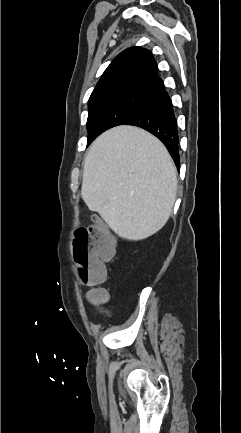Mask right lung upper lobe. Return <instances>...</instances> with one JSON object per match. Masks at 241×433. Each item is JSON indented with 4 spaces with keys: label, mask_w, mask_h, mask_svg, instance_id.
Instances as JSON below:
<instances>
[{
    "label": "right lung upper lobe",
    "mask_w": 241,
    "mask_h": 433,
    "mask_svg": "<svg viewBox=\"0 0 241 433\" xmlns=\"http://www.w3.org/2000/svg\"><path fill=\"white\" fill-rule=\"evenodd\" d=\"M157 69V63L147 49H126L105 70L88 102L126 93L152 95L163 86Z\"/></svg>",
    "instance_id": "obj_1"
}]
</instances>
